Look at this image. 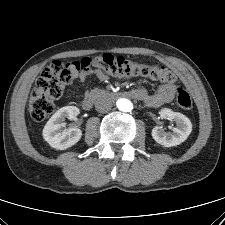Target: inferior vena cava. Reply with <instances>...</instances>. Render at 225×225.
<instances>
[{
    "label": "inferior vena cava",
    "instance_id": "602c4592",
    "mask_svg": "<svg viewBox=\"0 0 225 225\" xmlns=\"http://www.w3.org/2000/svg\"><path fill=\"white\" fill-rule=\"evenodd\" d=\"M95 108L100 113H106L112 108V102L111 100L100 97L95 102Z\"/></svg>",
    "mask_w": 225,
    "mask_h": 225
}]
</instances>
